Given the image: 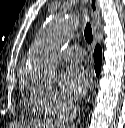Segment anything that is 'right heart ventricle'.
Instances as JSON below:
<instances>
[{"mask_svg": "<svg viewBox=\"0 0 125 128\" xmlns=\"http://www.w3.org/2000/svg\"><path fill=\"white\" fill-rule=\"evenodd\" d=\"M25 111L29 114H43L44 111L38 106L30 95L27 100L24 101Z\"/></svg>", "mask_w": 125, "mask_h": 128, "instance_id": "obj_1", "label": "right heart ventricle"}]
</instances>
